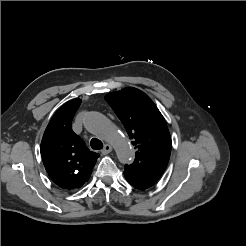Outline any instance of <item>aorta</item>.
<instances>
[{
  "label": "aorta",
  "mask_w": 246,
  "mask_h": 246,
  "mask_svg": "<svg viewBox=\"0 0 246 246\" xmlns=\"http://www.w3.org/2000/svg\"><path fill=\"white\" fill-rule=\"evenodd\" d=\"M85 128L110 143L118 160L130 164L134 159V150L124 134L112 124L103 114L95 111L88 112L84 119Z\"/></svg>",
  "instance_id": "aorta-1"
}]
</instances>
